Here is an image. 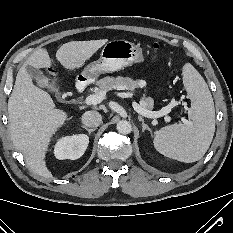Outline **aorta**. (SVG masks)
Segmentation results:
<instances>
[{
	"mask_svg": "<svg viewBox=\"0 0 233 233\" xmlns=\"http://www.w3.org/2000/svg\"><path fill=\"white\" fill-rule=\"evenodd\" d=\"M116 129L121 134H129L132 131V126L127 120H121L117 123Z\"/></svg>",
	"mask_w": 233,
	"mask_h": 233,
	"instance_id": "762f6f07",
	"label": "aorta"
}]
</instances>
